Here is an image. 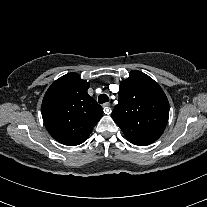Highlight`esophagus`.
Returning <instances> with one entry per match:
<instances>
[{
    "label": "esophagus",
    "mask_w": 207,
    "mask_h": 207,
    "mask_svg": "<svg viewBox=\"0 0 207 207\" xmlns=\"http://www.w3.org/2000/svg\"><path fill=\"white\" fill-rule=\"evenodd\" d=\"M103 110H104V113L107 114V115L111 114V112H112L109 103H104L103 104Z\"/></svg>",
    "instance_id": "esophagus-1"
}]
</instances>
